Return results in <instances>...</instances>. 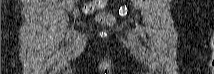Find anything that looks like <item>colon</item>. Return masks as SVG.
Wrapping results in <instances>:
<instances>
[{
  "label": "colon",
  "instance_id": "1",
  "mask_svg": "<svg viewBox=\"0 0 214 74\" xmlns=\"http://www.w3.org/2000/svg\"><path fill=\"white\" fill-rule=\"evenodd\" d=\"M106 3H107L106 0H97V1L88 2L85 5L84 9L86 12H93L95 10H99L96 15L97 20L108 26H113L115 24V17L102 10Z\"/></svg>",
  "mask_w": 214,
  "mask_h": 74
}]
</instances>
